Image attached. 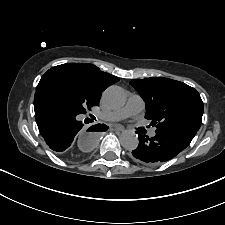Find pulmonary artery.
Masks as SVG:
<instances>
[{"instance_id": "obj_1", "label": "pulmonary artery", "mask_w": 225, "mask_h": 225, "mask_svg": "<svg viewBox=\"0 0 225 225\" xmlns=\"http://www.w3.org/2000/svg\"><path fill=\"white\" fill-rule=\"evenodd\" d=\"M144 108V100L137 94H131L124 107L115 111L101 113L99 118L103 121H117L128 116L136 115L142 112ZM155 134V131L150 132L151 136H155Z\"/></svg>"}]
</instances>
